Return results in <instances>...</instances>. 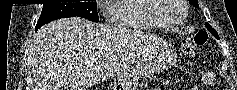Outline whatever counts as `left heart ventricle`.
Wrapping results in <instances>:
<instances>
[{
	"label": "left heart ventricle",
	"mask_w": 237,
	"mask_h": 90,
	"mask_svg": "<svg viewBox=\"0 0 237 90\" xmlns=\"http://www.w3.org/2000/svg\"><path fill=\"white\" fill-rule=\"evenodd\" d=\"M162 1H174V0H162ZM182 16H183L182 10H166L165 13H162L160 19L163 21L164 24L168 26H173L181 21Z\"/></svg>",
	"instance_id": "left-heart-ventricle-1"
}]
</instances>
